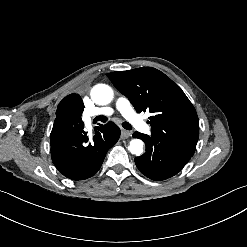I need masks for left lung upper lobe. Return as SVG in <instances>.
Segmentation results:
<instances>
[{
  "instance_id": "left-lung-upper-lobe-1",
  "label": "left lung upper lobe",
  "mask_w": 247,
  "mask_h": 247,
  "mask_svg": "<svg viewBox=\"0 0 247 247\" xmlns=\"http://www.w3.org/2000/svg\"><path fill=\"white\" fill-rule=\"evenodd\" d=\"M107 76L138 113L146 110L152 113L151 136L193 156L199 138V120L178 85L152 67L111 72Z\"/></svg>"
}]
</instances>
